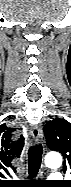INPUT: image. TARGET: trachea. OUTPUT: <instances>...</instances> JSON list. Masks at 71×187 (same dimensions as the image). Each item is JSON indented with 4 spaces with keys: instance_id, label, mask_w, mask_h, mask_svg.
<instances>
[{
    "instance_id": "1",
    "label": "trachea",
    "mask_w": 71,
    "mask_h": 187,
    "mask_svg": "<svg viewBox=\"0 0 71 187\" xmlns=\"http://www.w3.org/2000/svg\"><path fill=\"white\" fill-rule=\"evenodd\" d=\"M42 145L37 144L29 148L28 150V173L30 176H35L40 169L42 160Z\"/></svg>"
}]
</instances>
